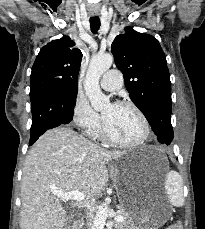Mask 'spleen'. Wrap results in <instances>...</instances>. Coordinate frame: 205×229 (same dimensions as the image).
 Segmentation results:
<instances>
[{
	"instance_id": "1",
	"label": "spleen",
	"mask_w": 205,
	"mask_h": 229,
	"mask_svg": "<svg viewBox=\"0 0 205 229\" xmlns=\"http://www.w3.org/2000/svg\"><path fill=\"white\" fill-rule=\"evenodd\" d=\"M165 190L171 205L175 207L183 206V180L178 172L172 170L166 175Z\"/></svg>"
}]
</instances>
